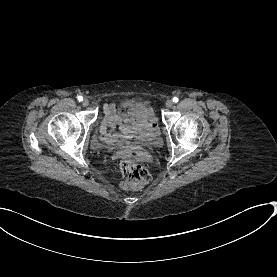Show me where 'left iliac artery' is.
Masks as SVG:
<instances>
[{"mask_svg":"<svg viewBox=\"0 0 277 277\" xmlns=\"http://www.w3.org/2000/svg\"><path fill=\"white\" fill-rule=\"evenodd\" d=\"M178 100H179V99H178L177 97H174V98H173V102H174V103H177Z\"/></svg>","mask_w":277,"mask_h":277,"instance_id":"1","label":"left iliac artery"}]
</instances>
